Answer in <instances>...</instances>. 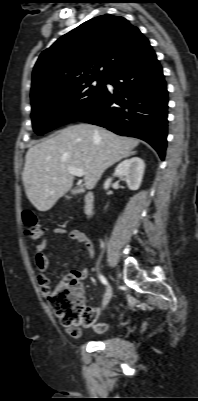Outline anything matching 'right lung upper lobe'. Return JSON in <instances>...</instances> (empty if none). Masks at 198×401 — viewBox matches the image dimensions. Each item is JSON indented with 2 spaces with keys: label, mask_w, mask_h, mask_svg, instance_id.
Masks as SVG:
<instances>
[{
  "label": "right lung upper lobe",
  "mask_w": 198,
  "mask_h": 401,
  "mask_svg": "<svg viewBox=\"0 0 198 401\" xmlns=\"http://www.w3.org/2000/svg\"><path fill=\"white\" fill-rule=\"evenodd\" d=\"M149 46L148 39L123 17L90 19L41 53L33 69L31 100L88 80H107Z\"/></svg>",
  "instance_id": "cb5924a9"
}]
</instances>
